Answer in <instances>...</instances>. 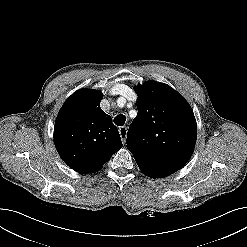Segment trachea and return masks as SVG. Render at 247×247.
<instances>
[{
	"instance_id": "obj_1",
	"label": "trachea",
	"mask_w": 247,
	"mask_h": 247,
	"mask_svg": "<svg viewBox=\"0 0 247 247\" xmlns=\"http://www.w3.org/2000/svg\"><path fill=\"white\" fill-rule=\"evenodd\" d=\"M125 121H126V117L124 115H117L115 118H114V123L117 125V126H123L125 124Z\"/></svg>"
}]
</instances>
